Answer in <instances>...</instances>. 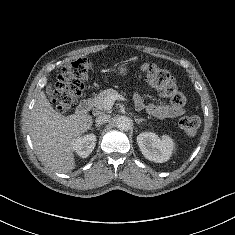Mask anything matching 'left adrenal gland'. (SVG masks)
Returning <instances> with one entry per match:
<instances>
[{"label": "left adrenal gland", "mask_w": 235, "mask_h": 235, "mask_svg": "<svg viewBox=\"0 0 235 235\" xmlns=\"http://www.w3.org/2000/svg\"><path fill=\"white\" fill-rule=\"evenodd\" d=\"M143 121H145V119H142V118H135V122L137 123V124H140L141 122H143Z\"/></svg>", "instance_id": "left-adrenal-gland-1"}]
</instances>
